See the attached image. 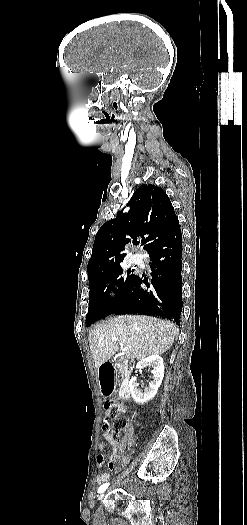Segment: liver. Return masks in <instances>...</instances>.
Returning <instances> with one entry per match:
<instances>
[{
  "instance_id": "6515ba94",
  "label": "liver",
  "mask_w": 247,
  "mask_h": 525,
  "mask_svg": "<svg viewBox=\"0 0 247 525\" xmlns=\"http://www.w3.org/2000/svg\"><path fill=\"white\" fill-rule=\"evenodd\" d=\"M179 329L171 321L146 315H121L95 325L88 341L96 369L109 361L120 347L126 359L142 361L151 355H163L174 343Z\"/></svg>"
}]
</instances>
